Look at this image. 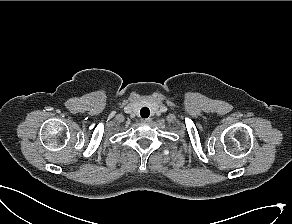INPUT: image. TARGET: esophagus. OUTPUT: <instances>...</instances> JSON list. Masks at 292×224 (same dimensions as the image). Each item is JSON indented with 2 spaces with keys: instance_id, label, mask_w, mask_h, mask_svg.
Here are the masks:
<instances>
[{
  "instance_id": "1",
  "label": "esophagus",
  "mask_w": 292,
  "mask_h": 224,
  "mask_svg": "<svg viewBox=\"0 0 292 224\" xmlns=\"http://www.w3.org/2000/svg\"><path fill=\"white\" fill-rule=\"evenodd\" d=\"M141 121L142 123L149 124L152 120L151 118H143Z\"/></svg>"
}]
</instances>
